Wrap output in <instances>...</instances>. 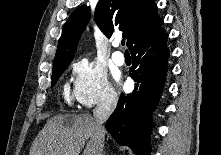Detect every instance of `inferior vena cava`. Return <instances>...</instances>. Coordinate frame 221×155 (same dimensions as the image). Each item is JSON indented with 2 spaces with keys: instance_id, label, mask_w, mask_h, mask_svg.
Masks as SVG:
<instances>
[{
  "instance_id": "602c4592",
  "label": "inferior vena cava",
  "mask_w": 221,
  "mask_h": 155,
  "mask_svg": "<svg viewBox=\"0 0 221 155\" xmlns=\"http://www.w3.org/2000/svg\"><path fill=\"white\" fill-rule=\"evenodd\" d=\"M117 94L114 91L107 92L103 98L99 101L96 108L93 110V116L96 122L97 127V136L99 144V153L98 155H104V137L105 130L103 128L104 122L107 121L113 110L117 105Z\"/></svg>"
}]
</instances>
